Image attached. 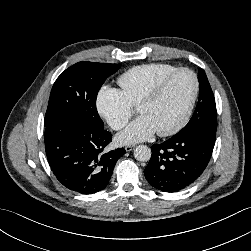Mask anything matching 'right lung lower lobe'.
Segmentation results:
<instances>
[{
	"label": "right lung lower lobe",
	"instance_id": "1",
	"mask_svg": "<svg viewBox=\"0 0 251 251\" xmlns=\"http://www.w3.org/2000/svg\"><path fill=\"white\" fill-rule=\"evenodd\" d=\"M44 141L49 165L58 181L81 194L103 190L117 160L126 153L124 148L105 151L112 134L79 119L46 126Z\"/></svg>",
	"mask_w": 251,
	"mask_h": 251
}]
</instances>
